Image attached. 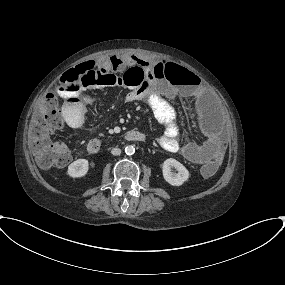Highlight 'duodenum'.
I'll use <instances>...</instances> for the list:
<instances>
[{"instance_id":"obj_1","label":"duodenum","mask_w":285,"mask_h":285,"mask_svg":"<svg viewBox=\"0 0 285 285\" xmlns=\"http://www.w3.org/2000/svg\"><path fill=\"white\" fill-rule=\"evenodd\" d=\"M125 139L131 142H143L145 135L137 130H132L126 133ZM104 146V142L101 139H92L87 145V150L90 154H98Z\"/></svg>"}]
</instances>
